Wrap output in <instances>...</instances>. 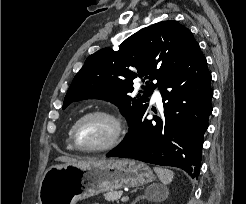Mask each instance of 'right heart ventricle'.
<instances>
[{
	"instance_id": "e07e8e85",
	"label": "right heart ventricle",
	"mask_w": 246,
	"mask_h": 204,
	"mask_svg": "<svg viewBox=\"0 0 246 204\" xmlns=\"http://www.w3.org/2000/svg\"><path fill=\"white\" fill-rule=\"evenodd\" d=\"M70 134H71V128H70L69 131H68L67 146H68L69 148H73V145H72L71 139H70Z\"/></svg>"
}]
</instances>
